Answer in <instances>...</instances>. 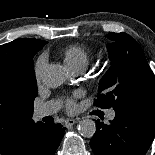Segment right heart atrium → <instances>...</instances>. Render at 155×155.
Returning a JSON list of instances; mask_svg holds the SVG:
<instances>
[{"label":"right heart atrium","instance_id":"1","mask_svg":"<svg viewBox=\"0 0 155 155\" xmlns=\"http://www.w3.org/2000/svg\"><path fill=\"white\" fill-rule=\"evenodd\" d=\"M46 65H47V56L45 54H42L41 56H39L34 66L35 77L38 81L41 80Z\"/></svg>","mask_w":155,"mask_h":155}]
</instances>
